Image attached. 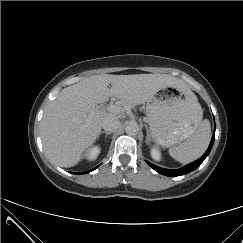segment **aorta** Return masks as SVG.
Returning a JSON list of instances; mask_svg holds the SVG:
<instances>
[{
  "mask_svg": "<svg viewBox=\"0 0 243 243\" xmlns=\"http://www.w3.org/2000/svg\"><path fill=\"white\" fill-rule=\"evenodd\" d=\"M139 131V126L136 122H129L126 127H125V132L128 134V135H136Z\"/></svg>",
  "mask_w": 243,
  "mask_h": 243,
  "instance_id": "aorta-1",
  "label": "aorta"
}]
</instances>
